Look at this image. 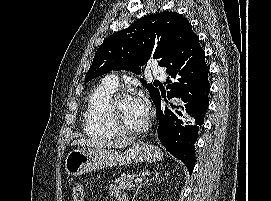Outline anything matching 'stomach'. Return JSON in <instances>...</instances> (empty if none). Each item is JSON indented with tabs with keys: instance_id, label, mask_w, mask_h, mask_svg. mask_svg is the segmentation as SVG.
Here are the masks:
<instances>
[{
	"instance_id": "obj_1",
	"label": "stomach",
	"mask_w": 271,
	"mask_h": 201,
	"mask_svg": "<svg viewBox=\"0 0 271 201\" xmlns=\"http://www.w3.org/2000/svg\"><path fill=\"white\" fill-rule=\"evenodd\" d=\"M162 158L159 148L143 142L134 143L125 152L105 148H76L65 158V171L68 175L79 176L86 172L116 165L156 162Z\"/></svg>"
}]
</instances>
